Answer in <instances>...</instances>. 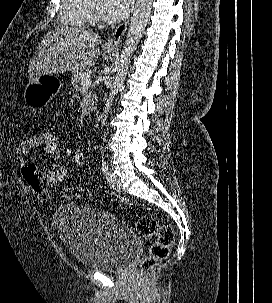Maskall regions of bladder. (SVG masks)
Here are the masks:
<instances>
[{
    "mask_svg": "<svg viewBox=\"0 0 272 303\" xmlns=\"http://www.w3.org/2000/svg\"><path fill=\"white\" fill-rule=\"evenodd\" d=\"M54 222L64 245L86 268L119 272L137 252L135 232L107 212L68 203L57 209Z\"/></svg>",
    "mask_w": 272,
    "mask_h": 303,
    "instance_id": "obj_1",
    "label": "bladder"
}]
</instances>
